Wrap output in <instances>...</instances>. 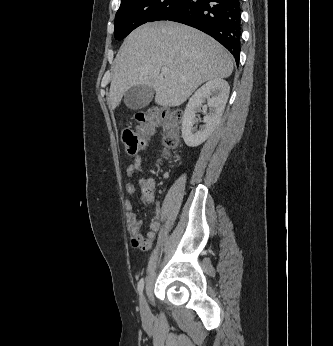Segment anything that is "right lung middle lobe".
I'll list each match as a JSON object with an SVG mask.
<instances>
[{
    "label": "right lung middle lobe",
    "instance_id": "dd1d6c3e",
    "mask_svg": "<svg viewBox=\"0 0 333 346\" xmlns=\"http://www.w3.org/2000/svg\"><path fill=\"white\" fill-rule=\"evenodd\" d=\"M183 1L121 0L115 16V39L122 40L144 23L167 19Z\"/></svg>",
    "mask_w": 333,
    "mask_h": 346
}]
</instances>
